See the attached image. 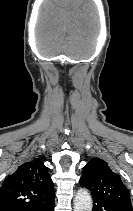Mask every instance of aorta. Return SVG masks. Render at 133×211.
I'll return each mask as SVG.
<instances>
[{
	"label": "aorta",
	"instance_id": "obj_1",
	"mask_svg": "<svg viewBox=\"0 0 133 211\" xmlns=\"http://www.w3.org/2000/svg\"><path fill=\"white\" fill-rule=\"evenodd\" d=\"M74 211H92V198L86 189L77 191L74 197Z\"/></svg>",
	"mask_w": 133,
	"mask_h": 211
}]
</instances>
